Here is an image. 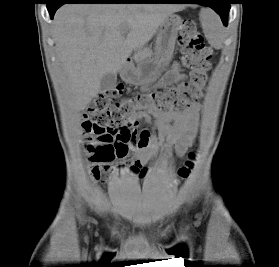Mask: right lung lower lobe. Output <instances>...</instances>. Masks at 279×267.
<instances>
[{
  "mask_svg": "<svg viewBox=\"0 0 279 267\" xmlns=\"http://www.w3.org/2000/svg\"><path fill=\"white\" fill-rule=\"evenodd\" d=\"M158 0H49L48 12L53 19L56 10L65 3H157Z\"/></svg>",
  "mask_w": 279,
  "mask_h": 267,
  "instance_id": "1",
  "label": "right lung lower lobe"
}]
</instances>
